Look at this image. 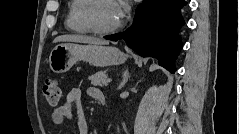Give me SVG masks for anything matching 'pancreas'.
Returning a JSON list of instances; mask_svg holds the SVG:
<instances>
[{"label":"pancreas","instance_id":"obj_1","mask_svg":"<svg viewBox=\"0 0 239 134\" xmlns=\"http://www.w3.org/2000/svg\"><path fill=\"white\" fill-rule=\"evenodd\" d=\"M91 84L94 86L103 87L107 85V74L105 71H99L89 77Z\"/></svg>","mask_w":239,"mask_h":134}]
</instances>
